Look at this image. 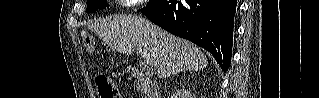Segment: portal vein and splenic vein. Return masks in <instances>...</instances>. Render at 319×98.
<instances>
[{"mask_svg":"<svg viewBox=\"0 0 319 98\" xmlns=\"http://www.w3.org/2000/svg\"><path fill=\"white\" fill-rule=\"evenodd\" d=\"M138 51L141 54V56L144 58L147 65L155 66L156 61L153 59L152 55L146 49L139 47Z\"/></svg>","mask_w":319,"mask_h":98,"instance_id":"1","label":"portal vein and splenic vein"}]
</instances>
